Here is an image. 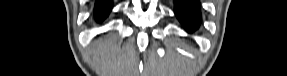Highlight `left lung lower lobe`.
<instances>
[{"instance_id":"1","label":"left lung lower lobe","mask_w":287,"mask_h":76,"mask_svg":"<svg viewBox=\"0 0 287 76\" xmlns=\"http://www.w3.org/2000/svg\"><path fill=\"white\" fill-rule=\"evenodd\" d=\"M175 14L188 32L200 24V4L198 0H175Z\"/></svg>"}]
</instances>
